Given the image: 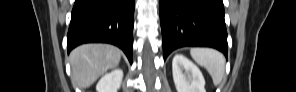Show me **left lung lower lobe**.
<instances>
[{
  "label": "left lung lower lobe",
  "instance_id": "left-lung-lower-lobe-1",
  "mask_svg": "<svg viewBox=\"0 0 296 92\" xmlns=\"http://www.w3.org/2000/svg\"><path fill=\"white\" fill-rule=\"evenodd\" d=\"M164 60L184 46L216 48L227 56L222 0H159Z\"/></svg>",
  "mask_w": 296,
  "mask_h": 92
}]
</instances>
